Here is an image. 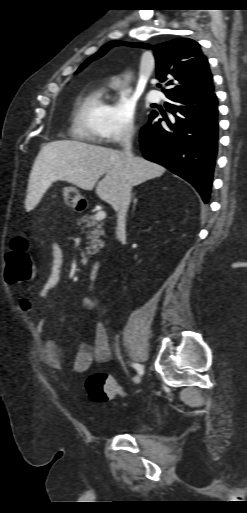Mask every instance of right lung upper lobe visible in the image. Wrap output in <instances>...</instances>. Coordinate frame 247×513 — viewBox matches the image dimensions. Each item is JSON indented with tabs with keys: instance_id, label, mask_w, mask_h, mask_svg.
I'll return each instance as SVG.
<instances>
[{
	"instance_id": "cb5924a9",
	"label": "right lung upper lobe",
	"mask_w": 247,
	"mask_h": 513,
	"mask_svg": "<svg viewBox=\"0 0 247 513\" xmlns=\"http://www.w3.org/2000/svg\"><path fill=\"white\" fill-rule=\"evenodd\" d=\"M121 44L131 47H148L143 43L111 41L89 57L78 71L91 61L103 56L111 47ZM154 51L157 79L161 82H165L167 77L171 79L167 83L169 88L163 90L167 97L201 96L214 90L208 59L196 41L179 38L157 45Z\"/></svg>"
}]
</instances>
